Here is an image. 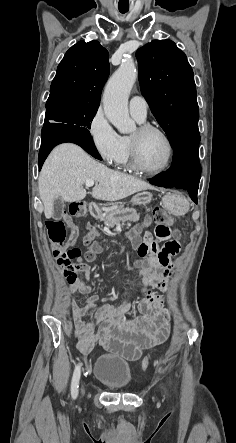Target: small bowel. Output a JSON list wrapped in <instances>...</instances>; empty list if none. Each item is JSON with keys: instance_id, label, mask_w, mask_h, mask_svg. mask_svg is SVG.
Instances as JSON below:
<instances>
[{"instance_id": "small-bowel-1", "label": "small bowel", "mask_w": 236, "mask_h": 443, "mask_svg": "<svg viewBox=\"0 0 236 443\" xmlns=\"http://www.w3.org/2000/svg\"><path fill=\"white\" fill-rule=\"evenodd\" d=\"M155 237L156 240L163 241L156 235ZM93 238V230L87 228L85 241L88 243V249L98 252L102 249V245L91 243ZM132 240L138 252L142 246H145L148 253L139 271L138 295L132 300H123L119 305L105 304L97 309L98 298L91 295L93 286L88 280L79 276L80 273L88 274L89 267L83 262L77 266L58 262L70 296L75 292L89 295L85 307L78 306L72 299L70 301L74 321L73 335L77 349L83 354L90 353L98 344L127 359H134L142 349L163 343L169 336L171 328L169 311L163 297L152 293L149 287L164 291L168 289V277L174 266L171 255L176 254L179 248L173 253H170L165 246L159 250L150 233H145L142 239L134 235ZM167 243L176 244L173 241ZM133 306H137L141 315L128 319L126 314ZM93 310H96L94 321L84 320V316Z\"/></svg>"}]
</instances>
